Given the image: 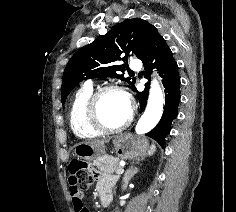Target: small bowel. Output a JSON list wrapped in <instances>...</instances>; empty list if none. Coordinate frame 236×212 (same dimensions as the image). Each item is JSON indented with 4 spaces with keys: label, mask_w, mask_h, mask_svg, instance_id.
I'll return each mask as SVG.
<instances>
[{
    "label": "small bowel",
    "mask_w": 236,
    "mask_h": 212,
    "mask_svg": "<svg viewBox=\"0 0 236 212\" xmlns=\"http://www.w3.org/2000/svg\"><path fill=\"white\" fill-rule=\"evenodd\" d=\"M66 179H67L66 183L69 184L68 198H70V202H72L73 204L74 211L86 212L83 207L82 192L83 190H87V185H82V183L79 182L78 175H67ZM112 184H113V178L104 179L101 183H99L98 190L100 189L110 190Z\"/></svg>",
    "instance_id": "c3829d8e"
}]
</instances>
